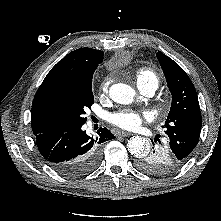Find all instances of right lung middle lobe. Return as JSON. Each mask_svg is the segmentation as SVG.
Here are the masks:
<instances>
[{
  "instance_id": "obj_1",
  "label": "right lung middle lobe",
  "mask_w": 221,
  "mask_h": 221,
  "mask_svg": "<svg viewBox=\"0 0 221 221\" xmlns=\"http://www.w3.org/2000/svg\"><path fill=\"white\" fill-rule=\"evenodd\" d=\"M97 67L84 70L69 86L57 89L51 94L50 109L62 128L74 129L86 122L85 110L94 103L92 78Z\"/></svg>"
}]
</instances>
